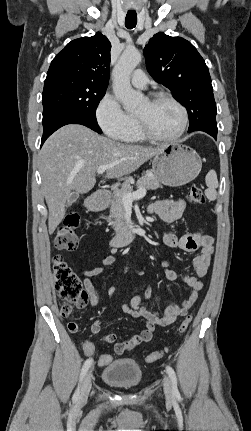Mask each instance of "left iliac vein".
I'll list each match as a JSON object with an SVG mask.
<instances>
[{"instance_id": "left-iliac-vein-1", "label": "left iliac vein", "mask_w": 251, "mask_h": 431, "mask_svg": "<svg viewBox=\"0 0 251 431\" xmlns=\"http://www.w3.org/2000/svg\"><path fill=\"white\" fill-rule=\"evenodd\" d=\"M163 389H164V393H165L166 398L168 400H171L172 399V388H171V383H170V380L168 379V377L164 378Z\"/></svg>"}]
</instances>
